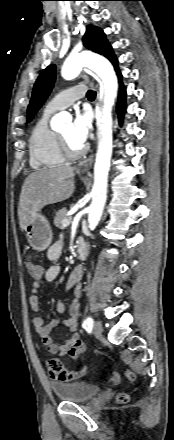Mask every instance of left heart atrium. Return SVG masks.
I'll use <instances>...</instances> for the list:
<instances>
[{"label":"left heart atrium","mask_w":174,"mask_h":440,"mask_svg":"<svg viewBox=\"0 0 174 440\" xmlns=\"http://www.w3.org/2000/svg\"><path fill=\"white\" fill-rule=\"evenodd\" d=\"M92 128L91 114L88 110H77L71 124V139L74 143L84 146Z\"/></svg>","instance_id":"left-heart-atrium-1"}]
</instances>
